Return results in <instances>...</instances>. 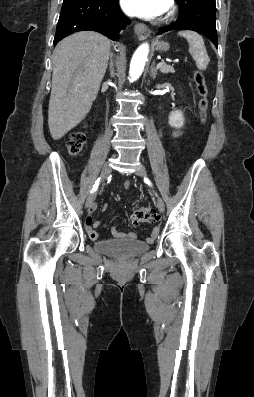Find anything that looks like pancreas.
I'll list each match as a JSON object with an SVG mask.
<instances>
[{
	"instance_id": "obj_1",
	"label": "pancreas",
	"mask_w": 254,
	"mask_h": 397,
	"mask_svg": "<svg viewBox=\"0 0 254 397\" xmlns=\"http://www.w3.org/2000/svg\"><path fill=\"white\" fill-rule=\"evenodd\" d=\"M159 69H160V71H161L162 73H175L174 68H173L172 66H170V65L164 64V65L161 66Z\"/></svg>"
}]
</instances>
